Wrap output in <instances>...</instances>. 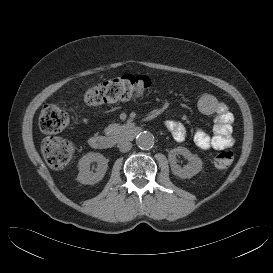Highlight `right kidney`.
<instances>
[{"instance_id":"right-kidney-1","label":"right kidney","mask_w":273,"mask_h":273,"mask_svg":"<svg viewBox=\"0 0 273 273\" xmlns=\"http://www.w3.org/2000/svg\"><path fill=\"white\" fill-rule=\"evenodd\" d=\"M96 162V172L90 171V164ZM108 161L100 153L89 152L81 157L78 162L79 173L77 180L81 184L92 185L101 181L107 171Z\"/></svg>"}]
</instances>
